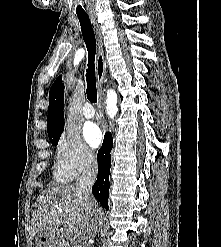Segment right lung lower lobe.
Instances as JSON below:
<instances>
[{
	"label": "right lung lower lobe",
	"instance_id": "right-lung-lower-lobe-1",
	"mask_svg": "<svg viewBox=\"0 0 221 247\" xmlns=\"http://www.w3.org/2000/svg\"><path fill=\"white\" fill-rule=\"evenodd\" d=\"M113 147V139L110 132L104 137L102 147L98 151V176L92 187L94 197L101 205L108 210V194H109V173L111 165V149Z\"/></svg>",
	"mask_w": 221,
	"mask_h": 247
}]
</instances>
